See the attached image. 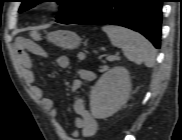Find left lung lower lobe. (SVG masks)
<instances>
[{"label":"left lung lower lobe","mask_w":182,"mask_h":140,"mask_svg":"<svg viewBox=\"0 0 182 140\" xmlns=\"http://www.w3.org/2000/svg\"><path fill=\"white\" fill-rule=\"evenodd\" d=\"M164 0H102L74 24H114L130 28L160 48L162 2Z\"/></svg>","instance_id":"left-lung-lower-lobe-1"}]
</instances>
